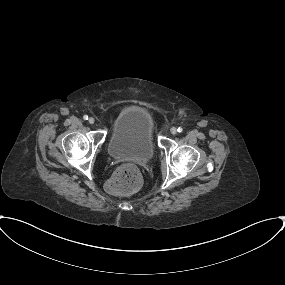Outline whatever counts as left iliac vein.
<instances>
[{
	"label": "left iliac vein",
	"instance_id": "left-iliac-vein-1",
	"mask_svg": "<svg viewBox=\"0 0 285 285\" xmlns=\"http://www.w3.org/2000/svg\"><path fill=\"white\" fill-rule=\"evenodd\" d=\"M170 132H171L172 134H176V133H177V129H176L175 127H172V128L170 129Z\"/></svg>",
	"mask_w": 285,
	"mask_h": 285
}]
</instances>
